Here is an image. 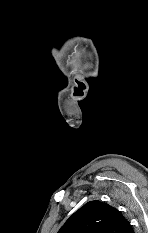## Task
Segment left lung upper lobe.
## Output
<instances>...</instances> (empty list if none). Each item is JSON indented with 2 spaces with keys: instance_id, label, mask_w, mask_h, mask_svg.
I'll list each match as a JSON object with an SVG mask.
<instances>
[{
  "instance_id": "obj_1",
  "label": "left lung upper lobe",
  "mask_w": 148,
  "mask_h": 233,
  "mask_svg": "<svg viewBox=\"0 0 148 233\" xmlns=\"http://www.w3.org/2000/svg\"><path fill=\"white\" fill-rule=\"evenodd\" d=\"M127 219L116 208L91 201L77 210L58 233H132Z\"/></svg>"
}]
</instances>
